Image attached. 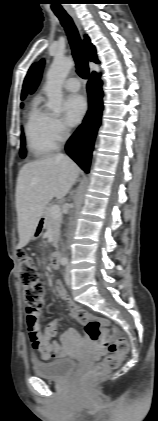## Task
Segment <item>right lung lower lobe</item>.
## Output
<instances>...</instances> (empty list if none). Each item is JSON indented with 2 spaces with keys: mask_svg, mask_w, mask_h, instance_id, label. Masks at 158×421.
Returning <instances> with one entry per match:
<instances>
[{
  "mask_svg": "<svg viewBox=\"0 0 158 421\" xmlns=\"http://www.w3.org/2000/svg\"><path fill=\"white\" fill-rule=\"evenodd\" d=\"M101 81L96 73H93L88 84L89 110L74 134L66 144L67 154L86 172H89L91 153L94 140L101 121L102 90Z\"/></svg>",
  "mask_w": 158,
  "mask_h": 421,
  "instance_id": "obj_1",
  "label": "right lung lower lobe"
}]
</instances>
